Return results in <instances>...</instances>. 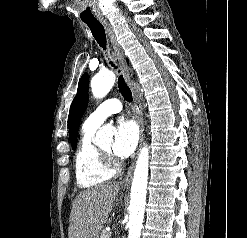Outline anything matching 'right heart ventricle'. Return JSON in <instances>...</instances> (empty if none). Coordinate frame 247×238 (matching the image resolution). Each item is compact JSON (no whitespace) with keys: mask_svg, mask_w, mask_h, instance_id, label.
<instances>
[{"mask_svg":"<svg viewBox=\"0 0 247 238\" xmlns=\"http://www.w3.org/2000/svg\"><path fill=\"white\" fill-rule=\"evenodd\" d=\"M97 128L83 125L81 140L75 155V178L80 188H91L108 181L114 171L105 166L99 149L93 142Z\"/></svg>","mask_w":247,"mask_h":238,"instance_id":"right-heart-ventricle-1","label":"right heart ventricle"}]
</instances>
